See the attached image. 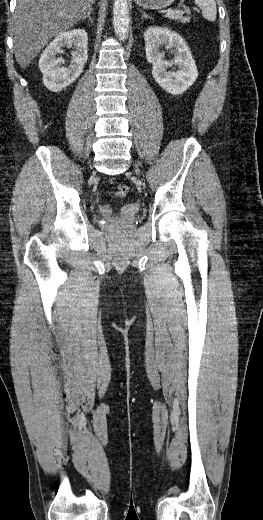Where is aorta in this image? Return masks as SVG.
Returning a JSON list of instances; mask_svg holds the SVG:
<instances>
[{"label": "aorta", "mask_w": 263, "mask_h": 520, "mask_svg": "<svg viewBox=\"0 0 263 520\" xmlns=\"http://www.w3.org/2000/svg\"><path fill=\"white\" fill-rule=\"evenodd\" d=\"M113 25L117 38L125 41L129 33V10L127 0H114Z\"/></svg>", "instance_id": "obj_1"}]
</instances>
